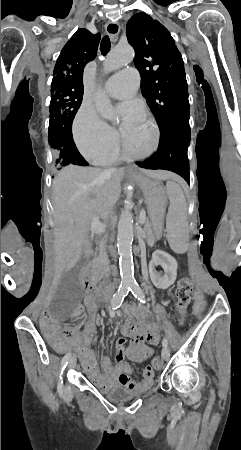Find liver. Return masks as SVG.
Returning <instances> with one entry per match:
<instances>
[{"mask_svg": "<svg viewBox=\"0 0 241 450\" xmlns=\"http://www.w3.org/2000/svg\"><path fill=\"white\" fill-rule=\"evenodd\" d=\"M153 180H177L172 172L142 170ZM125 170L112 168L103 174L99 168L66 166L58 172L52 184L54 206V284L76 266L86 250L92 222L102 218L110 222L113 206L121 196V182ZM87 258V256H85Z\"/></svg>", "mask_w": 241, "mask_h": 450, "instance_id": "liver-1", "label": "liver"}]
</instances>
